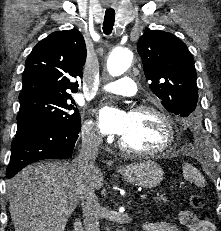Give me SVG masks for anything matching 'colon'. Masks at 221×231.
I'll return each mask as SVG.
<instances>
[{"label":"colon","instance_id":"colon-1","mask_svg":"<svg viewBox=\"0 0 221 231\" xmlns=\"http://www.w3.org/2000/svg\"><path fill=\"white\" fill-rule=\"evenodd\" d=\"M189 202L193 208L200 209L204 206V199L199 194H193L189 197Z\"/></svg>","mask_w":221,"mask_h":231}]
</instances>
